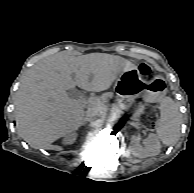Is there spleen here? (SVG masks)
Segmentation results:
<instances>
[{"mask_svg":"<svg viewBox=\"0 0 194 193\" xmlns=\"http://www.w3.org/2000/svg\"><path fill=\"white\" fill-rule=\"evenodd\" d=\"M160 114L156 124L157 136L163 144L169 146L177 141L180 132L182 121L179 106L170 97H165L160 106Z\"/></svg>","mask_w":194,"mask_h":193,"instance_id":"3e777b00","label":"spleen"}]
</instances>
